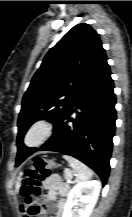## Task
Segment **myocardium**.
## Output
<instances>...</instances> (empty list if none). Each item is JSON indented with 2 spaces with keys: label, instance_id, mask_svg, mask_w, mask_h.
Masks as SVG:
<instances>
[{
  "label": "myocardium",
  "instance_id": "1",
  "mask_svg": "<svg viewBox=\"0 0 132 217\" xmlns=\"http://www.w3.org/2000/svg\"><path fill=\"white\" fill-rule=\"evenodd\" d=\"M53 126L46 119H39L26 130L23 142L25 146L34 148L44 143L52 134Z\"/></svg>",
  "mask_w": 132,
  "mask_h": 217
}]
</instances>
